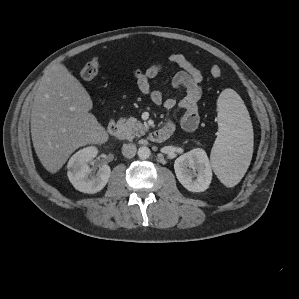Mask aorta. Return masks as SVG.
<instances>
[{"mask_svg": "<svg viewBox=\"0 0 299 299\" xmlns=\"http://www.w3.org/2000/svg\"><path fill=\"white\" fill-rule=\"evenodd\" d=\"M151 155V151L147 146H141L138 149V156L140 159H147Z\"/></svg>", "mask_w": 299, "mask_h": 299, "instance_id": "762f6f07", "label": "aorta"}]
</instances>
